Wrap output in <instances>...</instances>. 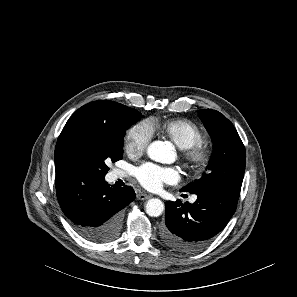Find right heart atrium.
<instances>
[{
  "label": "right heart atrium",
  "instance_id": "d8ad5b80",
  "mask_svg": "<svg viewBox=\"0 0 297 297\" xmlns=\"http://www.w3.org/2000/svg\"><path fill=\"white\" fill-rule=\"evenodd\" d=\"M153 131L148 122H139L132 126L125 136L126 151L133 156H139L145 152L151 139Z\"/></svg>",
  "mask_w": 297,
  "mask_h": 297
}]
</instances>
